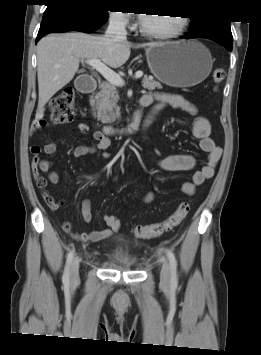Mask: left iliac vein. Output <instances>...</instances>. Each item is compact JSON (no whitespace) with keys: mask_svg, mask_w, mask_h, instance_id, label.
Segmentation results:
<instances>
[{"mask_svg":"<svg viewBox=\"0 0 261 355\" xmlns=\"http://www.w3.org/2000/svg\"><path fill=\"white\" fill-rule=\"evenodd\" d=\"M160 281L164 286H168L170 283V265L167 259H164L162 263Z\"/></svg>","mask_w":261,"mask_h":355,"instance_id":"4c4485c4","label":"left iliac vein"}]
</instances>
